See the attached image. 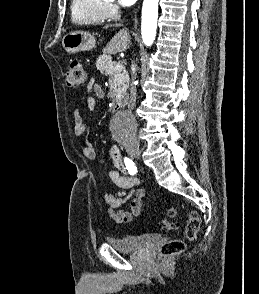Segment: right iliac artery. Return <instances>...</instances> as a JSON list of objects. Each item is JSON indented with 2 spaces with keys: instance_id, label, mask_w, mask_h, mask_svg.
<instances>
[{
  "instance_id": "82829eb1",
  "label": "right iliac artery",
  "mask_w": 259,
  "mask_h": 294,
  "mask_svg": "<svg viewBox=\"0 0 259 294\" xmlns=\"http://www.w3.org/2000/svg\"><path fill=\"white\" fill-rule=\"evenodd\" d=\"M124 162H125V165L128 169L129 174L135 175L137 173V167H136L135 163L127 157H125Z\"/></svg>"
}]
</instances>
